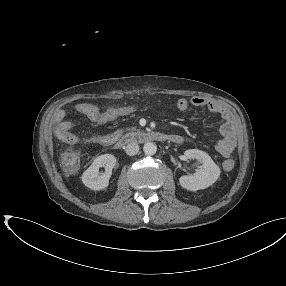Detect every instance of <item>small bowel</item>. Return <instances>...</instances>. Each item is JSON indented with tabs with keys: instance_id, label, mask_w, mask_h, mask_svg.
Returning <instances> with one entry per match:
<instances>
[{
	"instance_id": "small-bowel-1",
	"label": "small bowel",
	"mask_w": 286,
	"mask_h": 286,
	"mask_svg": "<svg viewBox=\"0 0 286 286\" xmlns=\"http://www.w3.org/2000/svg\"><path fill=\"white\" fill-rule=\"evenodd\" d=\"M176 106L184 111L189 107H203L210 112L220 115L223 119L221 133L223 138L216 144V150L225 158L229 157L237 145V133L230 110L223 104L195 96L190 99L180 98ZM77 113L87 117L97 125L107 124L131 112V108L114 107L101 110L97 105L90 102H80L75 104ZM68 111L60 109L56 111L54 120L58 123L57 135L62 141L72 145L80 146H111L122 133V129L103 135L78 136L72 133L73 124L67 120Z\"/></svg>"
}]
</instances>
